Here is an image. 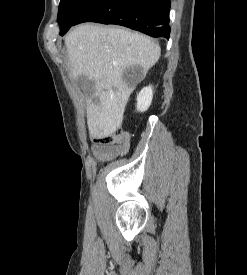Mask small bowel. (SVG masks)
Wrapping results in <instances>:
<instances>
[{
  "label": "small bowel",
  "mask_w": 247,
  "mask_h": 275,
  "mask_svg": "<svg viewBox=\"0 0 247 275\" xmlns=\"http://www.w3.org/2000/svg\"><path fill=\"white\" fill-rule=\"evenodd\" d=\"M127 144L101 145L96 144L93 147V153L100 162L109 161L127 153Z\"/></svg>",
  "instance_id": "obj_1"
}]
</instances>
